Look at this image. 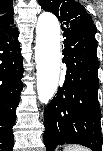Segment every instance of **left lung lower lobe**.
Listing matches in <instances>:
<instances>
[{"label":"left lung lower lobe","mask_w":103,"mask_h":151,"mask_svg":"<svg viewBox=\"0 0 103 151\" xmlns=\"http://www.w3.org/2000/svg\"><path fill=\"white\" fill-rule=\"evenodd\" d=\"M64 38L63 61L67 71L63 86L45 108L46 149L81 144L92 151H102L95 35L66 30Z\"/></svg>","instance_id":"1"}]
</instances>
